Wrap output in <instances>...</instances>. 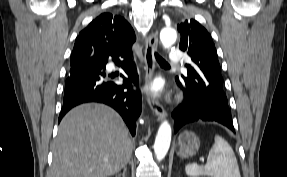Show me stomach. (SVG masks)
Here are the masks:
<instances>
[{"instance_id":"obj_1","label":"stomach","mask_w":287,"mask_h":177,"mask_svg":"<svg viewBox=\"0 0 287 177\" xmlns=\"http://www.w3.org/2000/svg\"><path fill=\"white\" fill-rule=\"evenodd\" d=\"M200 147L199 137L192 131L185 130L178 137L177 154L181 158L193 157Z\"/></svg>"}]
</instances>
